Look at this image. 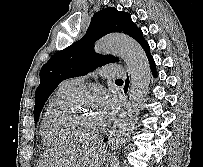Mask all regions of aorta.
<instances>
[{"label": "aorta", "mask_w": 203, "mask_h": 167, "mask_svg": "<svg viewBox=\"0 0 203 167\" xmlns=\"http://www.w3.org/2000/svg\"><path fill=\"white\" fill-rule=\"evenodd\" d=\"M100 54L112 53L126 63L131 76L130 101L113 126L108 137L111 150L120 149L131 136L151 80L150 65L143 48L131 37L110 34L95 45Z\"/></svg>", "instance_id": "aorta-1"}]
</instances>
